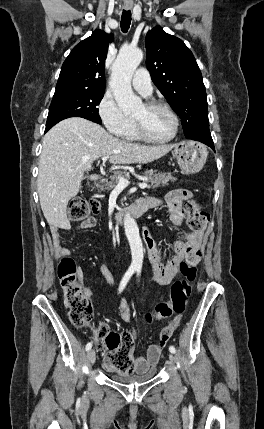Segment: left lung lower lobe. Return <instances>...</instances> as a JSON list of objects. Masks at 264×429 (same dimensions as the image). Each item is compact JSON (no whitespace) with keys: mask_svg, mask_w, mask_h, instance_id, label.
Here are the masks:
<instances>
[{"mask_svg":"<svg viewBox=\"0 0 264 429\" xmlns=\"http://www.w3.org/2000/svg\"><path fill=\"white\" fill-rule=\"evenodd\" d=\"M192 140L202 142V143L208 145L209 147H211L215 151L214 143H213L211 134L200 135V136L193 138Z\"/></svg>","mask_w":264,"mask_h":429,"instance_id":"left-lung-lower-lobe-1","label":"left lung lower lobe"}]
</instances>
